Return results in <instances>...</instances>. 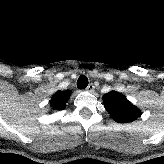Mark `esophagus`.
Masks as SVG:
<instances>
[{
	"instance_id": "esophagus-1",
	"label": "esophagus",
	"mask_w": 164,
	"mask_h": 164,
	"mask_svg": "<svg viewBox=\"0 0 164 164\" xmlns=\"http://www.w3.org/2000/svg\"><path fill=\"white\" fill-rule=\"evenodd\" d=\"M94 88H95V86H94L92 83H90V84L87 86L86 90L89 91V92H93V91H94Z\"/></svg>"
}]
</instances>
